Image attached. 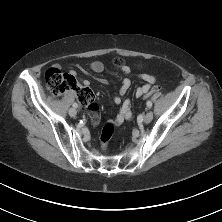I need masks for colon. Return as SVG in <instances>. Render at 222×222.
I'll use <instances>...</instances> for the list:
<instances>
[{"mask_svg": "<svg viewBox=\"0 0 222 222\" xmlns=\"http://www.w3.org/2000/svg\"><path fill=\"white\" fill-rule=\"evenodd\" d=\"M114 64L121 66L123 60L116 58ZM45 83L47 91L53 95L58 96L68 90L76 89L78 99L83 103L90 113L97 112L98 106L95 102V97L91 91L87 88L77 86L76 79L73 75L63 73L57 67H50L45 73ZM162 92L163 88L160 85H154L153 88L144 95V98L149 99L154 93ZM114 133V125L107 123L103 126L100 140L104 148H106L108 142L112 138Z\"/></svg>", "mask_w": 222, "mask_h": 222, "instance_id": "1", "label": "colon"}]
</instances>
